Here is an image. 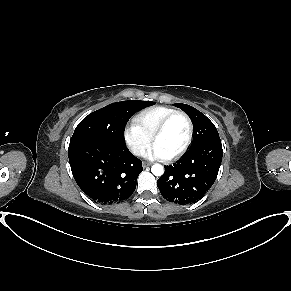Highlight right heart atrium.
<instances>
[{
  "mask_svg": "<svg viewBox=\"0 0 291 291\" xmlns=\"http://www.w3.org/2000/svg\"><path fill=\"white\" fill-rule=\"evenodd\" d=\"M124 140L134 155H141L151 141L149 136L136 122H131L124 129Z\"/></svg>",
  "mask_w": 291,
  "mask_h": 291,
  "instance_id": "obj_1",
  "label": "right heart atrium"
}]
</instances>
